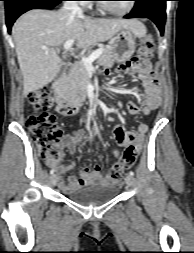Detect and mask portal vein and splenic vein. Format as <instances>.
<instances>
[{
	"instance_id": "portal-vein-and-splenic-vein-1",
	"label": "portal vein and splenic vein",
	"mask_w": 194,
	"mask_h": 253,
	"mask_svg": "<svg viewBox=\"0 0 194 253\" xmlns=\"http://www.w3.org/2000/svg\"><path fill=\"white\" fill-rule=\"evenodd\" d=\"M74 39H70L64 43V49L69 50L71 49L72 45L74 44ZM43 50L49 51L47 47H42ZM103 52V48H99L95 50L90 56L88 57H82V62L87 68H92V63L94 60H96Z\"/></svg>"
}]
</instances>
